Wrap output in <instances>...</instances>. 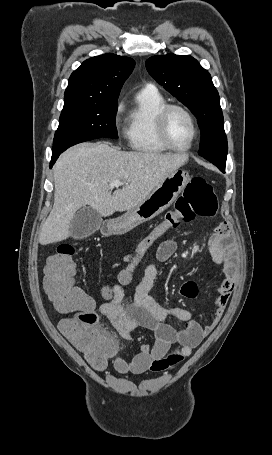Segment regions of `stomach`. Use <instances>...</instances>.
Instances as JSON below:
<instances>
[{
  "mask_svg": "<svg viewBox=\"0 0 272 455\" xmlns=\"http://www.w3.org/2000/svg\"><path fill=\"white\" fill-rule=\"evenodd\" d=\"M190 180L188 172L177 169L166 175L159 185L143 200L122 216L109 222V231L122 235L166 210L184 190Z\"/></svg>",
  "mask_w": 272,
  "mask_h": 455,
  "instance_id": "stomach-1",
  "label": "stomach"
}]
</instances>
